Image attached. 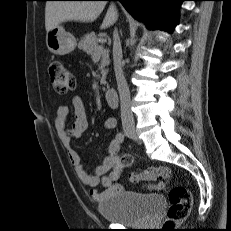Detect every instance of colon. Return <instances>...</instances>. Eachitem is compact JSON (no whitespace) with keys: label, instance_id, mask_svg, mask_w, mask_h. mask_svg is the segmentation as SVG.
<instances>
[{"label":"colon","instance_id":"colon-1","mask_svg":"<svg viewBox=\"0 0 231 231\" xmlns=\"http://www.w3.org/2000/svg\"><path fill=\"white\" fill-rule=\"evenodd\" d=\"M50 81L53 89L66 94L75 87V80L70 70L60 61H53L49 67ZM121 162L124 166L131 163L129 156H122ZM162 169H148L130 175L131 181L155 180L165 178ZM170 203L167 218L163 225V230L169 231L180 222H183L189 215L192 207V197L190 192L183 186L171 185L167 192Z\"/></svg>","mask_w":231,"mask_h":231}]
</instances>
